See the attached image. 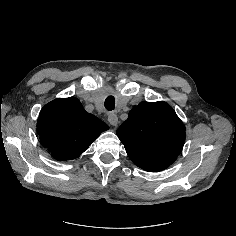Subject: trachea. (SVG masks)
<instances>
[{
  "label": "trachea",
  "instance_id": "trachea-1",
  "mask_svg": "<svg viewBox=\"0 0 236 236\" xmlns=\"http://www.w3.org/2000/svg\"><path fill=\"white\" fill-rule=\"evenodd\" d=\"M105 108L108 110V111H111L114 109L115 107V99L113 96H108L105 100Z\"/></svg>",
  "mask_w": 236,
  "mask_h": 236
}]
</instances>
